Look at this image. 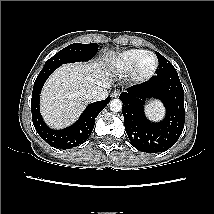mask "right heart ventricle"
I'll list each match as a JSON object with an SVG mask.
<instances>
[{"label": "right heart ventricle", "instance_id": "obj_1", "mask_svg": "<svg viewBox=\"0 0 214 214\" xmlns=\"http://www.w3.org/2000/svg\"><path fill=\"white\" fill-rule=\"evenodd\" d=\"M145 52V50L141 49H130L123 51L114 57H112L108 65L110 69L119 72V73H126L130 71L138 60V58Z\"/></svg>", "mask_w": 214, "mask_h": 214}]
</instances>
